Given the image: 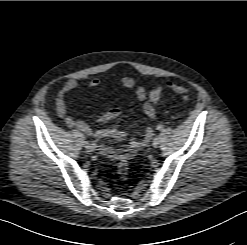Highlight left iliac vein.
I'll return each instance as SVG.
<instances>
[{
	"instance_id": "left-iliac-vein-1",
	"label": "left iliac vein",
	"mask_w": 247,
	"mask_h": 245,
	"mask_svg": "<svg viewBox=\"0 0 247 245\" xmlns=\"http://www.w3.org/2000/svg\"><path fill=\"white\" fill-rule=\"evenodd\" d=\"M159 142H160L159 137H155L152 143L153 147L156 148L159 145Z\"/></svg>"
}]
</instances>
